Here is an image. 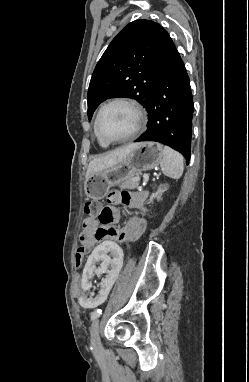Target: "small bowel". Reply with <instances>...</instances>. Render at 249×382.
I'll return each instance as SVG.
<instances>
[{"label":"small bowel","instance_id":"small-bowel-1","mask_svg":"<svg viewBox=\"0 0 249 382\" xmlns=\"http://www.w3.org/2000/svg\"><path fill=\"white\" fill-rule=\"evenodd\" d=\"M146 200L147 195L144 193L110 192L108 202L111 206L105 207L101 215L89 216L83 220L82 231L79 234L81 244L79 249L86 252L101 240H119L121 242L137 240L145 232L147 220L139 213H134L128 218L123 228H117L113 225L119 221L120 214L115 206L122 205L145 211Z\"/></svg>","mask_w":249,"mask_h":382}]
</instances>
